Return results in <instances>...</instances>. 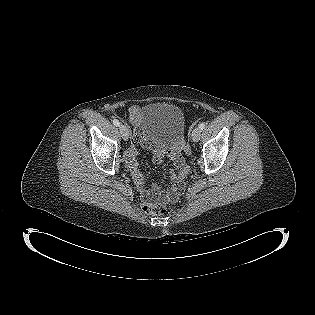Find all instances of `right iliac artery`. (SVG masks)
I'll list each match as a JSON object with an SVG mask.
<instances>
[{
    "instance_id": "1",
    "label": "right iliac artery",
    "mask_w": 315,
    "mask_h": 315,
    "mask_svg": "<svg viewBox=\"0 0 315 315\" xmlns=\"http://www.w3.org/2000/svg\"><path fill=\"white\" fill-rule=\"evenodd\" d=\"M113 124H114L115 126H120V122H119L117 119H114V120H113Z\"/></svg>"
}]
</instances>
